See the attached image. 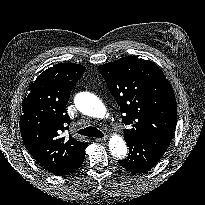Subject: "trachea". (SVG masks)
Returning a JSON list of instances; mask_svg holds the SVG:
<instances>
[{
	"mask_svg": "<svg viewBox=\"0 0 205 205\" xmlns=\"http://www.w3.org/2000/svg\"><path fill=\"white\" fill-rule=\"evenodd\" d=\"M77 133L87 137H95V138L104 137V134L100 130L92 126L80 129Z\"/></svg>",
	"mask_w": 205,
	"mask_h": 205,
	"instance_id": "1",
	"label": "trachea"
}]
</instances>
